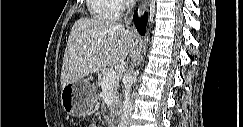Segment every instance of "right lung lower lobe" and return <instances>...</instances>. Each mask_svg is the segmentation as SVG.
I'll return each mask as SVG.
<instances>
[{
	"mask_svg": "<svg viewBox=\"0 0 243 127\" xmlns=\"http://www.w3.org/2000/svg\"><path fill=\"white\" fill-rule=\"evenodd\" d=\"M147 21H148V14H145L141 19H137L136 14L134 16V22H135L136 28L141 35L145 34V31H146L145 28H146Z\"/></svg>",
	"mask_w": 243,
	"mask_h": 127,
	"instance_id": "1",
	"label": "right lung lower lobe"
}]
</instances>
